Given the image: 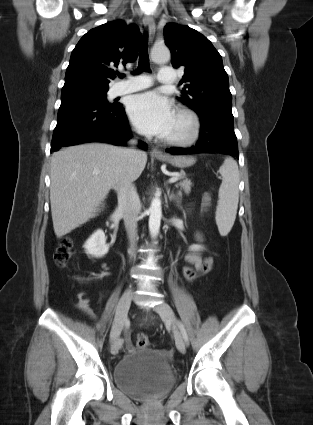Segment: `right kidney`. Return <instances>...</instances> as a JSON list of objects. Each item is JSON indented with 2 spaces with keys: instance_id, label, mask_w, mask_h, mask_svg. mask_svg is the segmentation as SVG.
Returning a JSON list of instances; mask_svg holds the SVG:
<instances>
[{
  "instance_id": "obj_1",
  "label": "right kidney",
  "mask_w": 313,
  "mask_h": 425,
  "mask_svg": "<svg viewBox=\"0 0 313 425\" xmlns=\"http://www.w3.org/2000/svg\"><path fill=\"white\" fill-rule=\"evenodd\" d=\"M86 252L94 257H101L107 254L109 246L106 244V237L102 230L94 232L85 242Z\"/></svg>"
}]
</instances>
